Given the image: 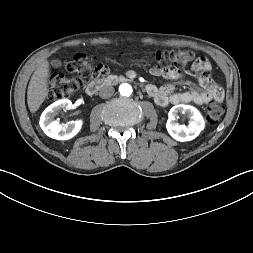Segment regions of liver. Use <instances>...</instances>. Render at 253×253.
Masks as SVG:
<instances>
[{"instance_id":"6515ba94","label":"liver","mask_w":253,"mask_h":253,"mask_svg":"<svg viewBox=\"0 0 253 253\" xmlns=\"http://www.w3.org/2000/svg\"><path fill=\"white\" fill-rule=\"evenodd\" d=\"M49 63L43 61L33 73L28 85L27 103L31 113H35L48 95Z\"/></svg>"}]
</instances>
